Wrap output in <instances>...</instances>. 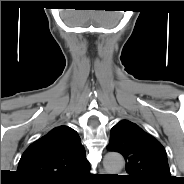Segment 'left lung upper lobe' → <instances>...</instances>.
Segmentation results:
<instances>
[{"label": "left lung upper lobe", "mask_w": 184, "mask_h": 184, "mask_svg": "<svg viewBox=\"0 0 184 184\" xmlns=\"http://www.w3.org/2000/svg\"><path fill=\"white\" fill-rule=\"evenodd\" d=\"M109 151L126 160L125 178L131 184H169L172 181L162 144L137 124L121 120L110 133Z\"/></svg>", "instance_id": "obj_1"}]
</instances>
